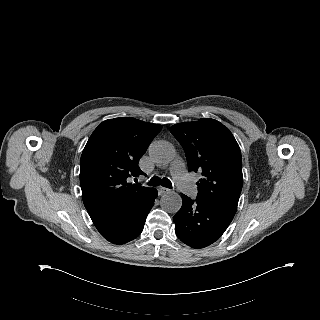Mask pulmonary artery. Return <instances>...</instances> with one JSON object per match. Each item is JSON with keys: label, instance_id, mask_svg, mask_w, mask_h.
<instances>
[{"label": "pulmonary artery", "instance_id": "1", "mask_svg": "<svg viewBox=\"0 0 320 320\" xmlns=\"http://www.w3.org/2000/svg\"><path fill=\"white\" fill-rule=\"evenodd\" d=\"M170 172L176 184L183 189L188 196L195 197L197 195V190L188 176L183 159L176 158L171 164Z\"/></svg>", "mask_w": 320, "mask_h": 320}]
</instances>
